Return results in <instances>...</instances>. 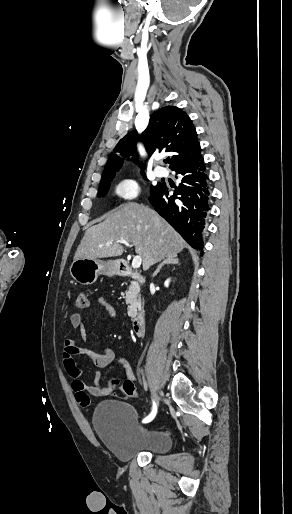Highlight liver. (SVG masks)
<instances>
[{
  "label": "liver",
  "instance_id": "liver-1",
  "mask_svg": "<svg viewBox=\"0 0 292 514\" xmlns=\"http://www.w3.org/2000/svg\"><path fill=\"white\" fill-rule=\"evenodd\" d=\"M118 240L132 242L136 254L142 258L143 270H148L164 258L177 256L185 248L181 236L157 212L132 202L122 204L109 212L104 222L88 228L74 260L122 256L123 246Z\"/></svg>",
  "mask_w": 292,
  "mask_h": 514
}]
</instances>
